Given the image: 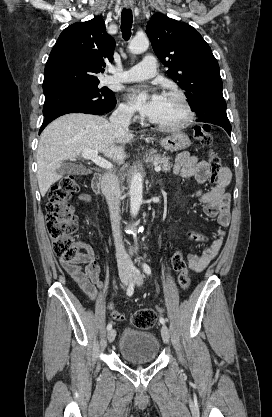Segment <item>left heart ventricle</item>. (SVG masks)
<instances>
[{
  "instance_id": "b2bd125f",
  "label": "left heart ventricle",
  "mask_w": 272,
  "mask_h": 417,
  "mask_svg": "<svg viewBox=\"0 0 272 417\" xmlns=\"http://www.w3.org/2000/svg\"><path fill=\"white\" fill-rule=\"evenodd\" d=\"M185 116L181 102L171 96H165L163 105L155 118L152 120L158 123L172 124L181 121Z\"/></svg>"
}]
</instances>
